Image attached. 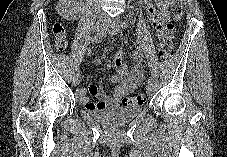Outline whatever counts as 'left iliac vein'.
<instances>
[{
  "mask_svg": "<svg viewBox=\"0 0 227 157\" xmlns=\"http://www.w3.org/2000/svg\"><path fill=\"white\" fill-rule=\"evenodd\" d=\"M121 24H122V22H117L116 27L114 29H112L111 31H109V33L114 34V33L122 31ZM146 91L149 95H152L155 92L154 83H148L147 87H146Z\"/></svg>",
  "mask_w": 227,
  "mask_h": 157,
  "instance_id": "4c4485c4",
  "label": "left iliac vein"
}]
</instances>
